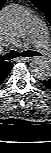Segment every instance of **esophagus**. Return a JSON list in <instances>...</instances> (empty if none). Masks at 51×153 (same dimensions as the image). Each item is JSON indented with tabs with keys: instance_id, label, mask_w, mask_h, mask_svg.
<instances>
[{
	"instance_id": "esophagus-1",
	"label": "esophagus",
	"mask_w": 51,
	"mask_h": 153,
	"mask_svg": "<svg viewBox=\"0 0 51 153\" xmlns=\"http://www.w3.org/2000/svg\"><path fill=\"white\" fill-rule=\"evenodd\" d=\"M32 57H22V58H20V60L21 61H23V62H30V61H32Z\"/></svg>"
}]
</instances>
